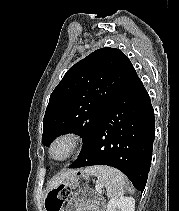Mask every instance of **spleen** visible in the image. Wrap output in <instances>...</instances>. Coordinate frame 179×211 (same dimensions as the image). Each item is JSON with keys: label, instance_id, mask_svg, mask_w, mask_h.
<instances>
[{"label": "spleen", "instance_id": "1", "mask_svg": "<svg viewBox=\"0 0 179 211\" xmlns=\"http://www.w3.org/2000/svg\"><path fill=\"white\" fill-rule=\"evenodd\" d=\"M87 176H95L99 185H105L107 196L115 198L124 194L125 176L119 170L109 166H90L84 170Z\"/></svg>", "mask_w": 179, "mask_h": 211}]
</instances>
